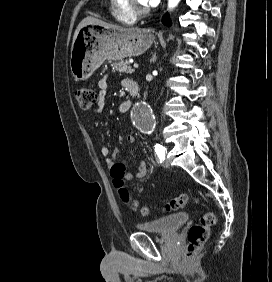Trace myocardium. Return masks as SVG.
Returning a JSON list of instances; mask_svg holds the SVG:
<instances>
[{"label":"myocardium","instance_id":"1","mask_svg":"<svg viewBox=\"0 0 272 282\" xmlns=\"http://www.w3.org/2000/svg\"><path fill=\"white\" fill-rule=\"evenodd\" d=\"M126 8L134 16H143L149 12L148 8H141L136 0H125Z\"/></svg>","mask_w":272,"mask_h":282}]
</instances>
